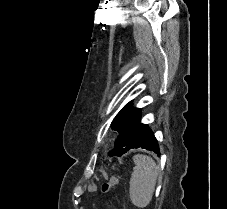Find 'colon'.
I'll use <instances>...</instances> for the list:
<instances>
[{
	"label": "colon",
	"mask_w": 227,
	"mask_h": 209,
	"mask_svg": "<svg viewBox=\"0 0 227 209\" xmlns=\"http://www.w3.org/2000/svg\"><path fill=\"white\" fill-rule=\"evenodd\" d=\"M118 178L117 177H111L106 182L102 184V190L103 191H109V190H115V188L118 185Z\"/></svg>",
	"instance_id": "colon-1"
}]
</instances>
